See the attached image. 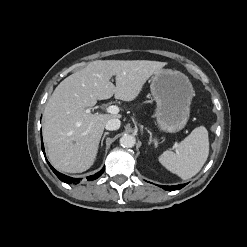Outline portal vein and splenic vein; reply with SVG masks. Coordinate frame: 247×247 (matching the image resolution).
<instances>
[{
    "mask_svg": "<svg viewBox=\"0 0 247 247\" xmlns=\"http://www.w3.org/2000/svg\"><path fill=\"white\" fill-rule=\"evenodd\" d=\"M87 113H90L91 110L90 109H87L86 110ZM107 112L110 113V114H118L119 113V107L116 106V105H111L107 108Z\"/></svg>",
    "mask_w": 247,
    "mask_h": 247,
    "instance_id": "18ae733b",
    "label": "portal vein and splenic vein"
}]
</instances>
